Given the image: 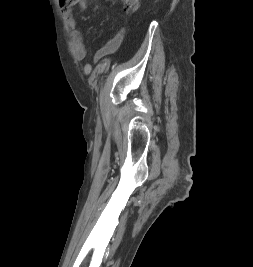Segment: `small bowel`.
Listing matches in <instances>:
<instances>
[{"mask_svg":"<svg viewBox=\"0 0 253 267\" xmlns=\"http://www.w3.org/2000/svg\"><path fill=\"white\" fill-rule=\"evenodd\" d=\"M63 13L67 21V24L71 29V38L75 56L77 59L83 60L87 57V48L83 42L82 33L78 28L77 21L74 18L71 10L65 9ZM123 39H124V29H121L110 40H108L102 48H100L97 51L94 58L95 61H98L104 57H107L115 53L121 46Z\"/></svg>","mask_w":253,"mask_h":267,"instance_id":"1","label":"small bowel"}]
</instances>
